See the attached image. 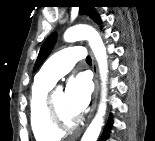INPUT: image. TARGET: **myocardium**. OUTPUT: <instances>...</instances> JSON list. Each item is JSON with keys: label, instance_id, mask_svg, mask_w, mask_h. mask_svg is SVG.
<instances>
[{"label": "myocardium", "instance_id": "obj_1", "mask_svg": "<svg viewBox=\"0 0 155 141\" xmlns=\"http://www.w3.org/2000/svg\"><path fill=\"white\" fill-rule=\"evenodd\" d=\"M54 93L55 91H50L47 94V97L45 100L46 116H47L49 123L54 129H56L59 132H66V131L74 130L78 126L80 120L75 117L74 119L70 121H65L61 117V115L59 114V112L57 111L54 105V101H53Z\"/></svg>", "mask_w": 155, "mask_h": 141}]
</instances>
